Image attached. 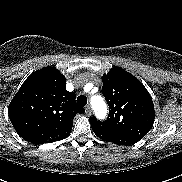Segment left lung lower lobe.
I'll use <instances>...</instances> for the list:
<instances>
[{"instance_id": "0a47b994", "label": "left lung lower lobe", "mask_w": 182, "mask_h": 182, "mask_svg": "<svg viewBox=\"0 0 182 182\" xmlns=\"http://www.w3.org/2000/svg\"><path fill=\"white\" fill-rule=\"evenodd\" d=\"M93 132L97 137H99L102 140L109 141L115 144H121V145H132L139 140L130 136H126L120 133L107 131L101 128L92 127Z\"/></svg>"}]
</instances>
